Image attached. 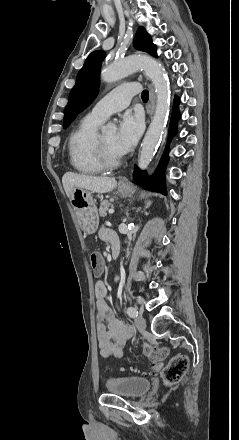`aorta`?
<instances>
[{
  "mask_svg": "<svg viewBox=\"0 0 239 440\" xmlns=\"http://www.w3.org/2000/svg\"><path fill=\"white\" fill-rule=\"evenodd\" d=\"M144 70L146 76L152 80L156 92V110L153 116V120L149 126L148 132L142 142L141 152L138 160V166L141 170H146L148 164H150L156 150L157 144H159L160 138L165 128V120L169 114L170 106V86L165 80V70L162 64L148 58V56H129L124 62L120 64H111L106 66L101 72L102 82L112 84V82H118L122 78L129 76L131 72L135 70ZM103 134L106 132H117L115 124L108 122L106 126L101 128Z\"/></svg>",
  "mask_w": 239,
  "mask_h": 440,
  "instance_id": "1",
  "label": "aorta"
}]
</instances>
